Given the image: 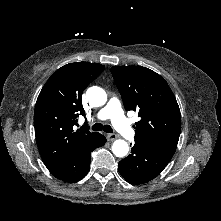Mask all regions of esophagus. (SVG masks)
Segmentation results:
<instances>
[{
    "label": "esophagus",
    "mask_w": 221,
    "mask_h": 221,
    "mask_svg": "<svg viewBox=\"0 0 221 221\" xmlns=\"http://www.w3.org/2000/svg\"><path fill=\"white\" fill-rule=\"evenodd\" d=\"M117 134H115V133H111V134H107V139L109 140V141H113V140H115V139H117Z\"/></svg>",
    "instance_id": "34e87169"
}]
</instances>
